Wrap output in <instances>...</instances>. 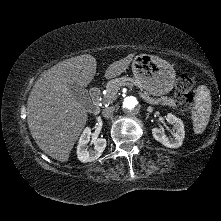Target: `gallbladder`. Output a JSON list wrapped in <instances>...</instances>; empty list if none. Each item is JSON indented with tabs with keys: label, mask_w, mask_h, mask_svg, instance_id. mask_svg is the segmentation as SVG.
Returning a JSON list of instances; mask_svg holds the SVG:
<instances>
[{
	"label": "gallbladder",
	"mask_w": 221,
	"mask_h": 221,
	"mask_svg": "<svg viewBox=\"0 0 221 221\" xmlns=\"http://www.w3.org/2000/svg\"><path fill=\"white\" fill-rule=\"evenodd\" d=\"M69 87L71 94L76 98V100L88 108L90 100L87 90L76 83L70 84Z\"/></svg>",
	"instance_id": "obj_1"
}]
</instances>
